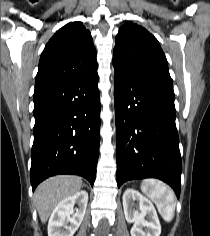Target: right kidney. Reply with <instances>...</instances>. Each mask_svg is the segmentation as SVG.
I'll list each match as a JSON object with an SVG mask.
<instances>
[{
	"mask_svg": "<svg viewBox=\"0 0 210 236\" xmlns=\"http://www.w3.org/2000/svg\"><path fill=\"white\" fill-rule=\"evenodd\" d=\"M87 203L86 191H79L58 203L48 222V236H73L84 218ZM75 204L78 208L74 209Z\"/></svg>",
	"mask_w": 210,
	"mask_h": 236,
	"instance_id": "right-kidney-1",
	"label": "right kidney"
}]
</instances>
